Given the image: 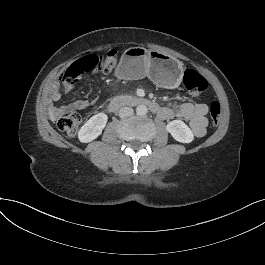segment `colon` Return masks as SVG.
I'll return each instance as SVG.
<instances>
[{
	"label": "colon",
	"mask_w": 265,
	"mask_h": 265,
	"mask_svg": "<svg viewBox=\"0 0 265 265\" xmlns=\"http://www.w3.org/2000/svg\"><path fill=\"white\" fill-rule=\"evenodd\" d=\"M116 65V53L109 51L105 56L98 54L87 55L70 65L62 74L61 80L66 87L73 86L85 72L98 69L105 74L110 73ZM183 83L189 93L194 97H200L208 88V81L193 69H188L183 75ZM221 106L213 102L210 106L212 124L216 126L220 120ZM81 123V117L77 113H70L58 120V128L73 136Z\"/></svg>",
	"instance_id": "colon-1"
}]
</instances>
